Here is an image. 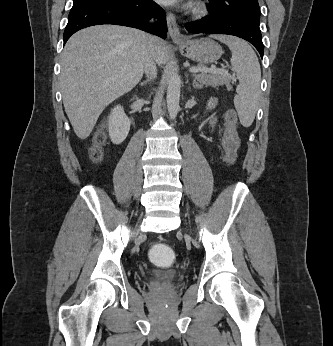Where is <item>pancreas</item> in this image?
I'll use <instances>...</instances> for the list:
<instances>
[{"mask_svg":"<svg viewBox=\"0 0 333 346\" xmlns=\"http://www.w3.org/2000/svg\"><path fill=\"white\" fill-rule=\"evenodd\" d=\"M200 68H205L204 66H201ZM194 77V87L195 88H202L204 86H212L214 88H217L218 86L226 85L228 89H231V82L232 77L229 74L224 73H195L193 75Z\"/></svg>","mask_w":333,"mask_h":346,"instance_id":"1","label":"pancreas"}]
</instances>
